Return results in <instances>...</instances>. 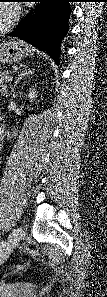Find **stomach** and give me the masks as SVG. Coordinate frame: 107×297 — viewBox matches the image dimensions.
Here are the masks:
<instances>
[{"mask_svg": "<svg viewBox=\"0 0 107 297\" xmlns=\"http://www.w3.org/2000/svg\"><path fill=\"white\" fill-rule=\"evenodd\" d=\"M31 52L30 48L20 41L2 43L0 46V62L2 64L19 63Z\"/></svg>", "mask_w": 107, "mask_h": 297, "instance_id": "stomach-1", "label": "stomach"}]
</instances>
